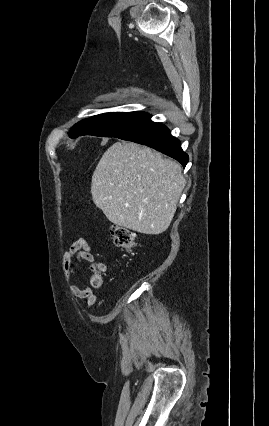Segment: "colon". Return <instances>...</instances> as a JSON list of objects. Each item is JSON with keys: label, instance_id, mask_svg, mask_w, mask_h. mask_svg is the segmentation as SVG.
I'll use <instances>...</instances> for the list:
<instances>
[{"label": "colon", "instance_id": "5ec220e1", "mask_svg": "<svg viewBox=\"0 0 269 426\" xmlns=\"http://www.w3.org/2000/svg\"><path fill=\"white\" fill-rule=\"evenodd\" d=\"M111 238L114 245L122 250H131L137 246V236L136 233L130 229H127L122 226H113L111 228ZM104 269L93 268L91 283L95 287H99L102 284V272Z\"/></svg>", "mask_w": 269, "mask_h": 426}]
</instances>
